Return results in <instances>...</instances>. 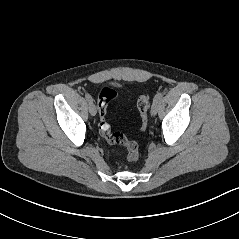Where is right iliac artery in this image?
Instances as JSON below:
<instances>
[{"label": "right iliac artery", "mask_w": 239, "mask_h": 239, "mask_svg": "<svg viewBox=\"0 0 239 239\" xmlns=\"http://www.w3.org/2000/svg\"><path fill=\"white\" fill-rule=\"evenodd\" d=\"M85 98L86 100L90 103V102H93V99L92 97L89 95V94H85Z\"/></svg>", "instance_id": "1"}]
</instances>
